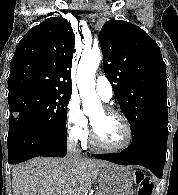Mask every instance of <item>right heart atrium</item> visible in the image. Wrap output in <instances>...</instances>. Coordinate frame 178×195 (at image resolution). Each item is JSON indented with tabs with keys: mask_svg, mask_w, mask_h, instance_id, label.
Instances as JSON below:
<instances>
[{
	"mask_svg": "<svg viewBox=\"0 0 178 195\" xmlns=\"http://www.w3.org/2000/svg\"><path fill=\"white\" fill-rule=\"evenodd\" d=\"M66 127L69 137L76 142L86 143L89 136L88 120L77 100H70L67 105Z\"/></svg>",
	"mask_w": 178,
	"mask_h": 195,
	"instance_id": "obj_1",
	"label": "right heart atrium"
}]
</instances>
